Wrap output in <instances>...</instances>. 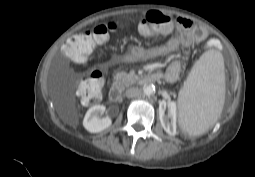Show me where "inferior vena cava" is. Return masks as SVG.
<instances>
[{"label": "inferior vena cava", "mask_w": 255, "mask_h": 177, "mask_svg": "<svg viewBox=\"0 0 255 177\" xmlns=\"http://www.w3.org/2000/svg\"><path fill=\"white\" fill-rule=\"evenodd\" d=\"M125 94H126V97L133 98V97L139 96L141 94V90L136 87H131L126 90Z\"/></svg>", "instance_id": "obj_1"}]
</instances>
